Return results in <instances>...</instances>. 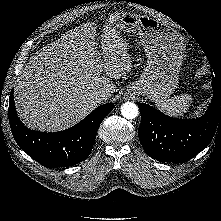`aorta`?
Segmentation results:
<instances>
[{
  "instance_id": "obj_1",
  "label": "aorta",
  "mask_w": 221,
  "mask_h": 221,
  "mask_svg": "<svg viewBox=\"0 0 221 221\" xmlns=\"http://www.w3.org/2000/svg\"><path fill=\"white\" fill-rule=\"evenodd\" d=\"M139 113L138 106L133 102H126L121 106V114L127 119H134Z\"/></svg>"
}]
</instances>
